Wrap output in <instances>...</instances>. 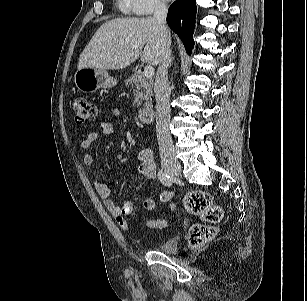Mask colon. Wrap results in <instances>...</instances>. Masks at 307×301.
<instances>
[{
    "label": "colon",
    "instance_id": "obj_1",
    "mask_svg": "<svg viewBox=\"0 0 307 301\" xmlns=\"http://www.w3.org/2000/svg\"><path fill=\"white\" fill-rule=\"evenodd\" d=\"M71 108L78 124L94 120L98 114L96 104L83 97L74 98ZM183 206L188 213L200 216L205 222L204 224H195L189 230L190 245L199 248L216 236L215 224L222 218V209L213 202L208 192L202 190L188 192L183 198ZM146 224L148 227L158 228L165 226L166 222L151 219Z\"/></svg>",
    "mask_w": 307,
    "mask_h": 301
}]
</instances>
